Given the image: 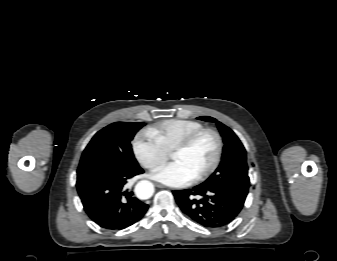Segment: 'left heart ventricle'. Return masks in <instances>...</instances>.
I'll list each match as a JSON object with an SVG mask.
<instances>
[{"mask_svg": "<svg viewBox=\"0 0 337 261\" xmlns=\"http://www.w3.org/2000/svg\"><path fill=\"white\" fill-rule=\"evenodd\" d=\"M216 148L214 136L204 134L190 148L174 154L172 159L180 162L195 177L211 165L216 154Z\"/></svg>", "mask_w": 337, "mask_h": 261, "instance_id": "1", "label": "left heart ventricle"}]
</instances>
